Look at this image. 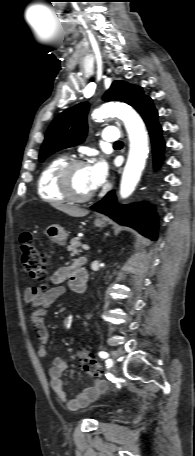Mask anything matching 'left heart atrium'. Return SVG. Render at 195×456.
Listing matches in <instances>:
<instances>
[{"label": "left heart atrium", "instance_id": "left-heart-atrium-1", "mask_svg": "<svg viewBox=\"0 0 195 456\" xmlns=\"http://www.w3.org/2000/svg\"><path fill=\"white\" fill-rule=\"evenodd\" d=\"M88 168L90 186L92 190H95L105 182L108 174V167L104 160H98Z\"/></svg>", "mask_w": 195, "mask_h": 456}]
</instances>
